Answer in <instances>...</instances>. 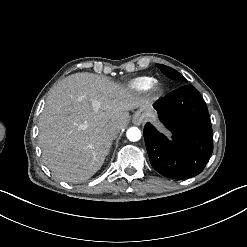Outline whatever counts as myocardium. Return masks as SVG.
<instances>
[{
    "label": "myocardium",
    "instance_id": "myocardium-1",
    "mask_svg": "<svg viewBox=\"0 0 247 247\" xmlns=\"http://www.w3.org/2000/svg\"><path fill=\"white\" fill-rule=\"evenodd\" d=\"M154 91L159 92L161 90V86L159 84H155L153 87Z\"/></svg>",
    "mask_w": 247,
    "mask_h": 247
}]
</instances>
